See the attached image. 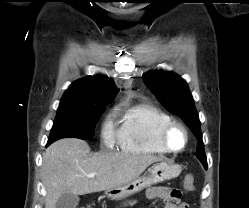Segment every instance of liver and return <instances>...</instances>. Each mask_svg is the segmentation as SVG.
<instances>
[{
    "instance_id": "6515ba94",
    "label": "liver",
    "mask_w": 249,
    "mask_h": 208,
    "mask_svg": "<svg viewBox=\"0 0 249 208\" xmlns=\"http://www.w3.org/2000/svg\"><path fill=\"white\" fill-rule=\"evenodd\" d=\"M163 158L153 155L98 152L77 138L52 143L43 154L42 183L46 190L45 208H55L65 193L85 195L107 191L130 183L151 164ZM95 173L94 178L87 175Z\"/></svg>"
}]
</instances>
